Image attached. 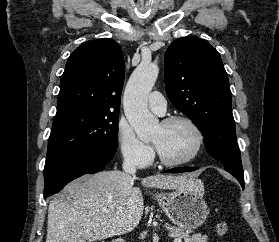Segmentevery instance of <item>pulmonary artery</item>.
<instances>
[{"label": "pulmonary artery", "mask_w": 279, "mask_h": 242, "mask_svg": "<svg viewBox=\"0 0 279 242\" xmlns=\"http://www.w3.org/2000/svg\"><path fill=\"white\" fill-rule=\"evenodd\" d=\"M149 108L159 115L166 111L167 102L165 97L158 91H153L148 97Z\"/></svg>", "instance_id": "pulmonary-artery-1"}]
</instances>
